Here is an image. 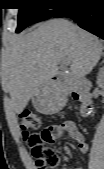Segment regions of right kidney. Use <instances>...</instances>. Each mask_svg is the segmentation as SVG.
Returning a JSON list of instances; mask_svg holds the SVG:
<instances>
[{"mask_svg": "<svg viewBox=\"0 0 104 169\" xmlns=\"http://www.w3.org/2000/svg\"><path fill=\"white\" fill-rule=\"evenodd\" d=\"M103 83H104V68H101L97 77V84L100 86L103 85Z\"/></svg>", "mask_w": 104, "mask_h": 169, "instance_id": "right-kidney-1", "label": "right kidney"}]
</instances>
